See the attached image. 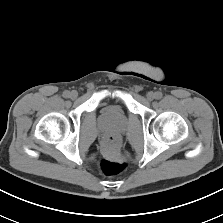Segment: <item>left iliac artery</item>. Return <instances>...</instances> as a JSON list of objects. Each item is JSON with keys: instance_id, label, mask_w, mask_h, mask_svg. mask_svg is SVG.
<instances>
[{"instance_id": "1", "label": "left iliac artery", "mask_w": 223, "mask_h": 223, "mask_svg": "<svg viewBox=\"0 0 223 223\" xmlns=\"http://www.w3.org/2000/svg\"><path fill=\"white\" fill-rule=\"evenodd\" d=\"M161 97H162V93L161 92H159V91L155 92V98L156 99H160Z\"/></svg>"}]
</instances>
